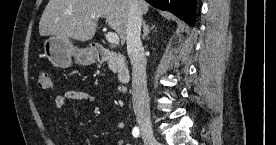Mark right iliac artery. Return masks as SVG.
Masks as SVG:
<instances>
[{"label":"right iliac artery","instance_id":"right-iliac-artery-1","mask_svg":"<svg viewBox=\"0 0 276 145\" xmlns=\"http://www.w3.org/2000/svg\"><path fill=\"white\" fill-rule=\"evenodd\" d=\"M132 134L135 138H137L140 134V130H139V127L135 126L132 130Z\"/></svg>","mask_w":276,"mask_h":145}]
</instances>
